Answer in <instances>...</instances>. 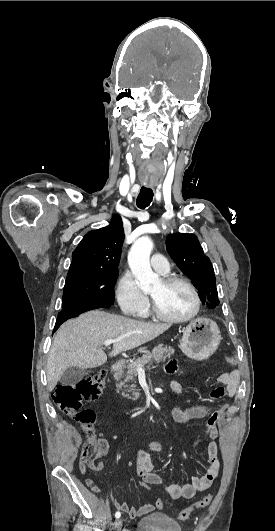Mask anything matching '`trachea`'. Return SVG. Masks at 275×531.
<instances>
[{
    "instance_id": "trachea-1",
    "label": "trachea",
    "mask_w": 275,
    "mask_h": 531,
    "mask_svg": "<svg viewBox=\"0 0 275 531\" xmlns=\"http://www.w3.org/2000/svg\"><path fill=\"white\" fill-rule=\"evenodd\" d=\"M153 196L154 194H153L152 189H150L149 187L146 188L145 186H143L137 197V206L141 209L146 208L151 203Z\"/></svg>"
}]
</instances>
